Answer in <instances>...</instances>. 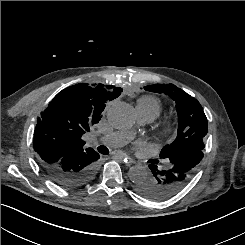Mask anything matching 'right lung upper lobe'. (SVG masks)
Here are the masks:
<instances>
[{
    "instance_id": "1",
    "label": "right lung upper lobe",
    "mask_w": 245,
    "mask_h": 245,
    "mask_svg": "<svg viewBox=\"0 0 245 245\" xmlns=\"http://www.w3.org/2000/svg\"><path fill=\"white\" fill-rule=\"evenodd\" d=\"M120 87L77 84L60 91L41 113L34 131V150L45 164H54L85 149L82 135L101 119L105 104L117 98Z\"/></svg>"
}]
</instances>
